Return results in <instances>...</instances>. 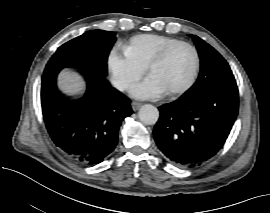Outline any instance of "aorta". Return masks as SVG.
Here are the masks:
<instances>
[{
	"mask_svg": "<svg viewBox=\"0 0 270 213\" xmlns=\"http://www.w3.org/2000/svg\"><path fill=\"white\" fill-rule=\"evenodd\" d=\"M138 117L144 124L153 125L158 121L159 111L155 106L145 104L139 109Z\"/></svg>",
	"mask_w": 270,
	"mask_h": 213,
	"instance_id": "obj_1",
	"label": "aorta"
}]
</instances>
